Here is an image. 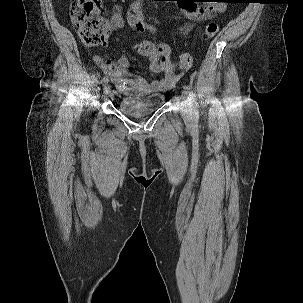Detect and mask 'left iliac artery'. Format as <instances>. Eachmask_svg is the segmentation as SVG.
Segmentation results:
<instances>
[{
  "label": "left iliac artery",
  "mask_w": 303,
  "mask_h": 303,
  "mask_svg": "<svg viewBox=\"0 0 303 303\" xmlns=\"http://www.w3.org/2000/svg\"><path fill=\"white\" fill-rule=\"evenodd\" d=\"M185 93L188 94V99L192 102V117L193 119L197 120L199 118V111H198V105L196 102V95L191 90L190 86L185 85L184 86Z\"/></svg>",
  "instance_id": "44dca946"
}]
</instances>
